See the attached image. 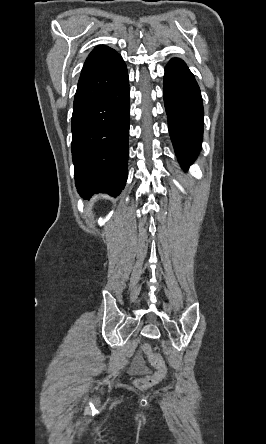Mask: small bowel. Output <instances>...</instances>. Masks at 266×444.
<instances>
[{
    "instance_id": "1",
    "label": "small bowel",
    "mask_w": 266,
    "mask_h": 444,
    "mask_svg": "<svg viewBox=\"0 0 266 444\" xmlns=\"http://www.w3.org/2000/svg\"><path fill=\"white\" fill-rule=\"evenodd\" d=\"M143 369H144L143 360L140 356H137L134 360L132 367H131V371L133 373H139V372H142Z\"/></svg>"
}]
</instances>
